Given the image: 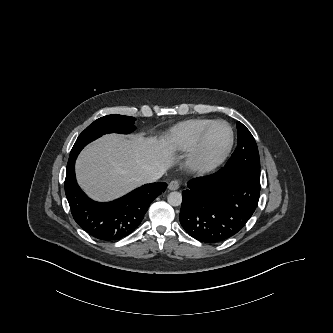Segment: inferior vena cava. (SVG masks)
Masks as SVG:
<instances>
[{
  "label": "inferior vena cava",
  "mask_w": 333,
  "mask_h": 333,
  "mask_svg": "<svg viewBox=\"0 0 333 333\" xmlns=\"http://www.w3.org/2000/svg\"><path fill=\"white\" fill-rule=\"evenodd\" d=\"M164 172L162 170L158 171H150L142 176L141 181L144 183H151L157 181L159 178L162 177Z\"/></svg>",
  "instance_id": "602c4592"
}]
</instances>
